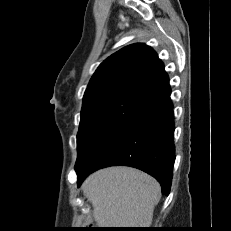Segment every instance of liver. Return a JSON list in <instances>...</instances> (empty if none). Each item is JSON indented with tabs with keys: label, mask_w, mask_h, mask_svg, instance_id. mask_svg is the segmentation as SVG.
<instances>
[{
	"label": "liver",
	"mask_w": 231,
	"mask_h": 231,
	"mask_svg": "<svg viewBox=\"0 0 231 231\" xmlns=\"http://www.w3.org/2000/svg\"><path fill=\"white\" fill-rule=\"evenodd\" d=\"M101 228H148L159 200V183L129 167H111L90 175L82 185Z\"/></svg>",
	"instance_id": "1"
}]
</instances>
